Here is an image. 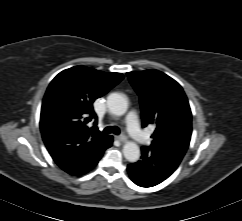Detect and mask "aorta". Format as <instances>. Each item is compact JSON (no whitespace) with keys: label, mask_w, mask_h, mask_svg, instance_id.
<instances>
[{"label":"aorta","mask_w":242,"mask_h":221,"mask_svg":"<svg viewBox=\"0 0 242 221\" xmlns=\"http://www.w3.org/2000/svg\"><path fill=\"white\" fill-rule=\"evenodd\" d=\"M107 107L112 114L121 116L128 109V101L120 93H111L107 97ZM123 154L129 162H136L140 157V148L135 142L128 141L123 146Z\"/></svg>","instance_id":"aorta-1"}]
</instances>
